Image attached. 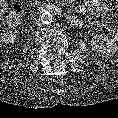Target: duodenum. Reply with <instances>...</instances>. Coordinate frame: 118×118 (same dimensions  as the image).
Returning <instances> with one entry per match:
<instances>
[{"label":"duodenum","mask_w":118,"mask_h":118,"mask_svg":"<svg viewBox=\"0 0 118 118\" xmlns=\"http://www.w3.org/2000/svg\"><path fill=\"white\" fill-rule=\"evenodd\" d=\"M37 9L40 12H55L63 14L69 23L75 27H80L82 25V20L79 16L64 11V9L56 3L42 2L37 5Z\"/></svg>","instance_id":"410a0bca"}]
</instances>
